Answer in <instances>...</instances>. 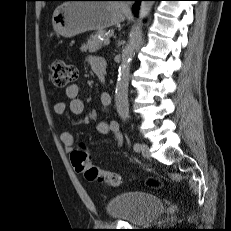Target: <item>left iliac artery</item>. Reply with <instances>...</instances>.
<instances>
[{
  "mask_svg": "<svg viewBox=\"0 0 231 231\" xmlns=\"http://www.w3.org/2000/svg\"><path fill=\"white\" fill-rule=\"evenodd\" d=\"M133 148H134V150L136 152H138L140 150V144L139 143H135Z\"/></svg>",
  "mask_w": 231,
  "mask_h": 231,
  "instance_id": "44dca946",
  "label": "left iliac artery"
}]
</instances>
